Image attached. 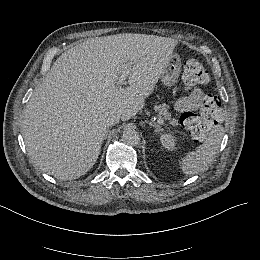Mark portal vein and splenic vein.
<instances>
[{"mask_svg": "<svg viewBox=\"0 0 260 260\" xmlns=\"http://www.w3.org/2000/svg\"><path fill=\"white\" fill-rule=\"evenodd\" d=\"M129 74H130V70L129 69H126V68L123 69V71H122V73L120 75L119 82H124L127 79V77L129 76ZM158 123L159 124H164V120L163 119H159Z\"/></svg>", "mask_w": 260, "mask_h": 260, "instance_id": "18ae733b", "label": "portal vein and splenic vein"}]
</instances>
